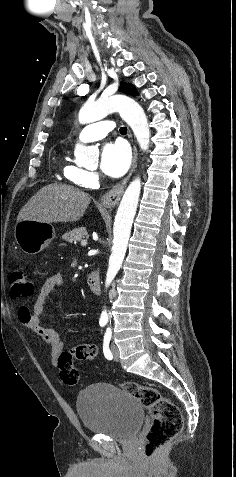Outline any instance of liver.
Listing matches in <instances>:
<instances>
[{"label": "liver", "instance_id": "liver-1", "mask_svg": "<svg viewBox=\"0 0 236 477\" xmlns=\"http://www.w3.org/2000/svg\"><path fill=\"white\" fill-rule=\"evenodd\" d=\"M90 204L87 193L78 188L50 184L40 189L21 209L17 222L29 219L39 222H76Z\"/></svg>", "mask_w": 236, "mask_h": 477}]
</instances>
